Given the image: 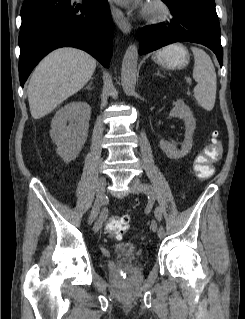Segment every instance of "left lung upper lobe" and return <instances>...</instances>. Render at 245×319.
I'll return each instance as SVG.
<instances>
[{
    "instance_id": "5c2ea615",
    "label": "left lung upper lobe",
    "mask_w": 245,
    "mask_h": 319,
    "mask_svg": "<svg viewBox=\"0 0 245 319\" xmlns=\"http://www.w3.org/2000/svg\"><path fill=\"white\" fill-rule=\"evenodd\" d=\"M170 6L190 5L216 14L214 0H163Z\"/></svg>"
}]
</instances>
